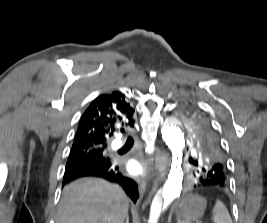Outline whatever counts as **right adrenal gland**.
I'll list each match as a JSON object with an SVG mask.
<instances>
[{"instance_id": "right-adrenal-gland-1", "label": "right adrenal gland", "mask_w": 267, "mask_h": 223, "mask_svg": "<svg viewBox=\"0 0 267 223\" xmlns=\"http://www.w3.org/2000/svg\"><path fill=\"white\" fill-rule=\"evenodd\" d=\"M126 223H129V217H128V215L126 217Z\"/></svg>"}]
</instances>
